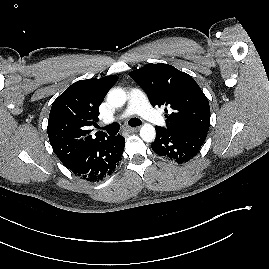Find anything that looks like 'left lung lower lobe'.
<instances>
[{"label":"left lung lower lobe","instance_id":"1","mask_svg":"<svg viewBox=\"0 0 269 269\" xmlns=\"http://www.w3.org/2000/svg\"><path fill=\"white\" fill-rule=\"evenodd\" d=\"M156 133L152 150L178 164L196 156L207 136V133L202 132H168L159 126H156Z\"/></svg>","mask_w":269,"mask_h":269}]
</instances>
